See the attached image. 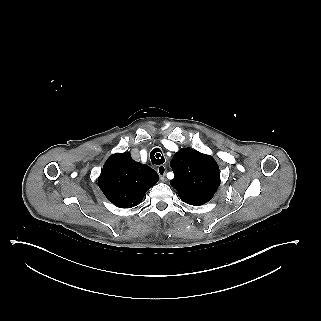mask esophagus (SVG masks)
Here are the masks:
<instances>
[{"label": "esophagus", "instance_id": "obj_1", "mask_svg": "<svg viewBox=\"0 0 321 321\" xmlns=\"http://www.w3.org/2000/svg\"><path fill=\"white\" fill-rule=\"evenodd\" d=\"M158 175L160 176L161 180H165V174H166V167L164 165H160L157 168Z\"/></svg>", "mask_w": 321, "mask_h": 321}]
</instances>
